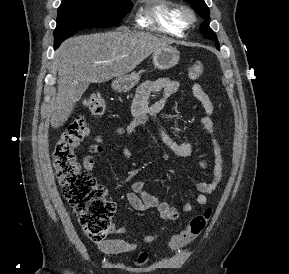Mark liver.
Returning a JSON list of instances; mask_svg holds the SVG:
<instances>
[{
    "label": "liver",
    "mask_w": 289,
    "mask_h": 274,
    "mask_svg": "<svg viewBox=\"0 0 289 274\" xmlns=\"http://www.w3.org/2000/svg\"><path fill=\"white\" fill-rule=\"evenodd\" d=\"M168 46V41L148 33L117 30L72 37L55 54L58 92L51 113V127L68 120L79 99L80 83H101L127 75L150 54Z\"/></svg>",
    "instance_id": "obj_1"
}]
</instances>
